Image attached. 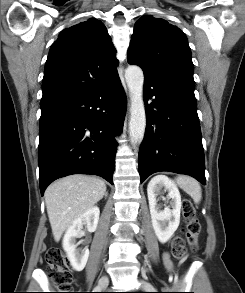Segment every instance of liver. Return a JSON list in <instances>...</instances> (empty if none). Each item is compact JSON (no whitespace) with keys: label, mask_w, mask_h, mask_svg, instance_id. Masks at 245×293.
I'll return each mask as SVG.
<instances>
[{"label":"liver","mask_w":245,"mask_h":293,"mask_svg":"<svg viewBox=\"0 0 245 293\" xmlns=\"http://www.w3.org/2000/svg\"><path fill=\"white\" fill-rule=\"evenodd\" d=\"M106 193L103 180L85 175H71L51 184L45 191V203L54 240Z\"/></svg>","instance_id":"1"}]
</instances>
